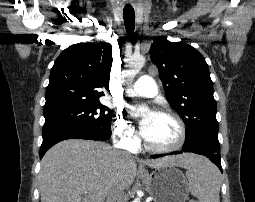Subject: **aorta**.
<instances>
[{"label":"aorta","instance_id":"aorta-1","mask_svg":"<svg viewBox=\"0 0 255 202\" xmlns=\"http://www.w3.org/2000/svg\"><path fill=\"white\" fill-rule=\"evenodd\" d=\"M145 57L142 55H135L132 56L127 60V67L128 69L125 71L124 76L131 80L144 66L145 64ZM148 112V107L142 105L137 110V115H143ZM133 202H140L139 198L134 199Z\"/></svg>","mask_w":255,"mask_h":202}]
</instances>
